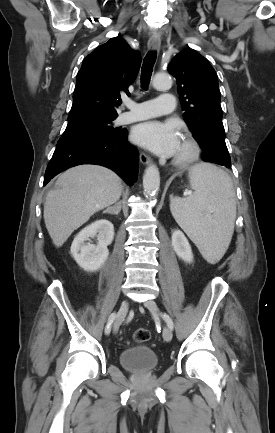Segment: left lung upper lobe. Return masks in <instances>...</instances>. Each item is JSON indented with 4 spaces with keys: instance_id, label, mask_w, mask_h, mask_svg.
<instances>
[{
    "instance_id": "left-lung-upper-lobe-1",
    "label": "left lung upper lobe",
    "mask_w": 275,
    "mask_h": 433,
    "mask_svg": "<svg viewBox=\"0 0 275 433\" xmlns=\"http://www.w3.org/2000/svg\"><path fill=\"white\" fill-rule=\"evenodd\" d=\"M168 71L176 78L183 117L203 150V161L230 163L213 67L195 50L184 49L172 59Z\"/></svg>"
}]
</instances>
